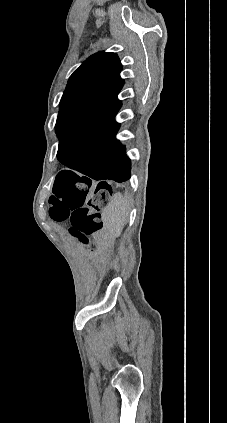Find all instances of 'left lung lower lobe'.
I'll return each instance as SVG.
<instances>
[{
    "instance_id": "obj_1",
    "label": "left lung lower lobe",
    "mask_w": 227,
    "mask_h": 423,
    "mask_svg": "<svg viewBox=\"0 0 227 423\" xmlns=\"http://www.w3.org/2000/svg\"><path fill=\"white\" fill-rule=\"evenodd\" d=\"M115 114L102 121L88 123L76 133L60 140L57 158L65 166L95 180L123 182L130 178L131 162L115 136L119 124ZM82 180L71 171H63ZM89 180L88 178H86Z\"/></svg>"
}]
</instances>
